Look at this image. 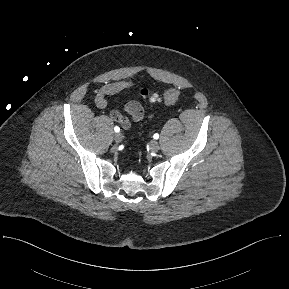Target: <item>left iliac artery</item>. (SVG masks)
<instances>
[{
	"mask_svg": "<svg viewBox=\"0 0 289 289\" xmlns=\"http://www.w3.org/2000/svg\"><path fill=\"white\" fill-rule=\"evenodd\" d=\"M153 138H154V139H158V138H159V134H158V133H155V134L153 135Z\"/></svg>",
	"mask_w": 289,
	"mask_h": 289,
	"instance_id": "left-iliac-artery-1",
	"label": "left iliac artery"
}]
</instances>
